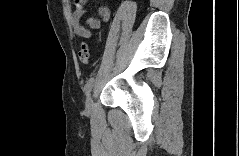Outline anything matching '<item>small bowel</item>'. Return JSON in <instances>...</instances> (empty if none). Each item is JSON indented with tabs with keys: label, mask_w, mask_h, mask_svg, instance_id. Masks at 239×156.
I'll use <instances>...</instances> for the list:
<instances>
[{
	"label": "small bowel",
	"mask_w": 239,
	"mask_h": 156,
	"mask_svg": "<svg viewBox=\"0 0 239 156\" xmlns=\"http://www.w3.org/2000/svg\"><path fill=\"white\" fill-rule=\"evenodd\" d=\"M88 0H76L74 3L73 13V28L76 35L82 38L91 37V30H98L101 28L103 22H107L111 15V9L109 6H102L99 8V18L86 17V7ZM85 19V23L88 27L82 24Z\"/></svg>",
	"instance_id": "small-bowel-1"
}]
</instances>
